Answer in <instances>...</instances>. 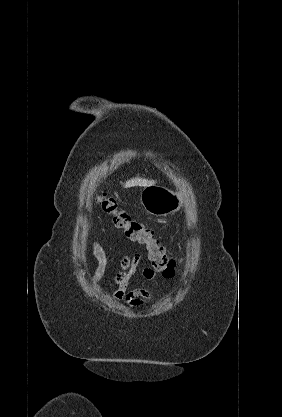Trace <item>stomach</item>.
<instances>
[{
  "label": "stomach",
  "mask_w": 282,
  "mask_h": 417,
  "mask_svg": "<svg viewBox=\"0 0 282 417\" xmlns=\"http://www.w3.org/2000/svg\"><path fill=\"white\" fill-rule=\"evenodd\" d=\"M140 202L149 215L156 217H166L170 213H176L182 204L178 192L157 184L144 186L140 194Z\"/></svg>",
  "instance_id": "stomach-1"
}]
</instances>
